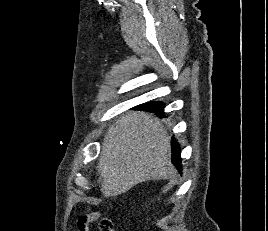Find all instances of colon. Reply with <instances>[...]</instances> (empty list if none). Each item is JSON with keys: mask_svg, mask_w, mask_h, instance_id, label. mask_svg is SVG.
<instances>
[{"mask_svg": "<svg viewBox=\"0 0 268 231\" xmlns=\"http://www.w3.org/2000/svg\"><path fill=\"white\" fill-rule=\"evenodd\" d=\"M92 217L89 216L88 220H91ZM96 219H98L97 231H116L115 225L110 217L98 215Z\"/></svg>", "mask_w": 268, "mask_h": 231, "instance_id": "1", "label": "colon"}]
</instances>
